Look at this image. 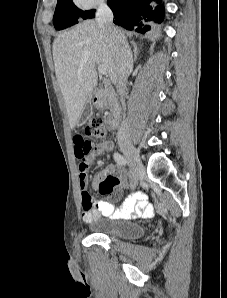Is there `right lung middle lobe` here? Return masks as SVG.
<instances>
[{
  "label": "right lung middle lobe",
  "instance_id": "obj_1",
  "mask_svg": "<svg viewBox=\"0 0 227 298\" xmlns=\"http://www.w3.org/2000/svg\"><path fill=\"white\" fill-rule=\"evenodd\" d=\"M94 10L82 11L72 0H58L53 17L54 27L58 30L77 24L80 18L87 19Z\"/></svg>",
  "mask_w": 227,
  "mask_h": 298
}]
</instances>
